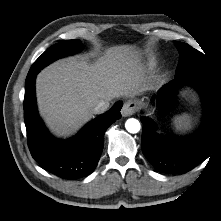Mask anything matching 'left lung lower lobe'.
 <instances>
[{
    "instance_id": "obj_1",
    "label": "left lung lower lobe",
    "mask_w": 221,
    "mask_h": 221,
    "mask_svg": "<svg viewBox=\"0 0 221 221\" xmlns=\"http://www.w3.org/2000/svg\"><path fill=\"white\" fill-rule=\"evenodd\" d=\"M188 83L200 93L204 103L203 124L188 138L167 141L159 136L152 120L142 117V151L159 172L184 174L204 161L214 146L221 142V86L201 75L175 76L157 95L161 103L167 102L181 85Z\"/></svg>"
}]
</instances>
